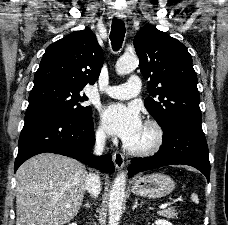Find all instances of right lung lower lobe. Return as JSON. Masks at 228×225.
Masks as SVG:
<instances>
[{
    "label": "right lung lower lobe",
    "mask_w": 228,
    "mask_h": 225,
    "mask_svg": "<svg viewBox=\"0 0 228 225\" xmlns=\"http://www.w3.org/2000/svg\"><path fill=\"white\" fill-rule=\"evenodd\" d=\"M95 142L92 117L79 118L70 114L46 110L25 115V124L19 138V150L14 172L30 157L51 152L84 162L102 172L113 173L110 155L100 158L89 151Z\"/></svg>",
    "instance_id": "1"
}]
</instances>
